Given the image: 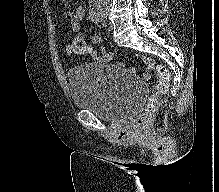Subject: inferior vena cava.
<instances>
[{
    "label": "inferior vena cava",
    "instance_id": "602c4592",
    "mask_svg": "<svg viewBox=\"0 0 219 192\" xmlns=\"http://www.w3.org/2000/svg\"><path fill=\"white\" fill-rule=\"evenodd\" d=\"M97 1L101 2L103 6H108L110 2V0H97Z\"/></svg>",
    "mask_w": 219,
    "mask_h": 192
}]
</instances>
